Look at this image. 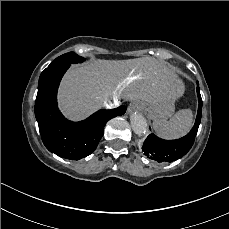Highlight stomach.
Listing matches in <instances>:
<instances>
[{
    "label": "stomach",
    "mask_w": 229,
    "mask_h": 229,
    "mask_svg": "<svg viewBox=\"0 0 229 229\" xmlns=\"http://www.w3.org/2000/svg\"><path fill=\"white\" fill-rule=\"evenodd\" d=\"M141 108L147 116L151 119H161V118H169L172 116L174 112V103L172 102H160V103H141Z\"/></svg>",
    "instance_id": "0dacf381"
}]
</instances>
